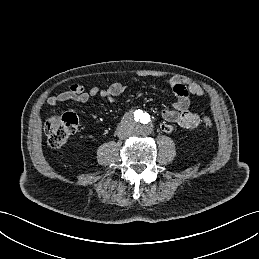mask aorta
Here are the masks:
<instances>
[{"instance_id":"762f6f07","label":"aorta","mask_w":259,"mask_h":259,"mask_svg":"<svg viewBox=\"0 0 259 259\" xmlns=\"http://www.w3.org/2000/svg\"><path fill=\"white\" fill-rule=\"evenodd\" d=\"M130 133L143 137L152 132V115L146 110H137L129 117Z\"/></svg>"}]
</instances>
